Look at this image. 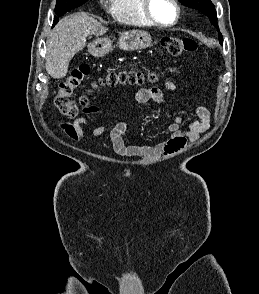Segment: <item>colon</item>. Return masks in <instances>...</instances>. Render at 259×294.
I'll return each mask as SVG.
<instances>
[{"instance_id": "5ec220e1", "label": "colon", "mask_w": 259, "mask_h": 294, "mask_svg": "<svg viewBox=\"0 0 259 294\" xmlns=\"http://www.w3.org/2000/svg\"><path fill=\"white\" fill-rule=\"evenodd\" d=\"M161 44L171 56H180L197 48L196 42L190 38L165 37L161 40ZM88 74L89 68L81 66L74 69L60 84L55 98V105L63 116L76 117L81 110H85L88 107V99L85 96H81L78 99L73 97L74 91L81 85ZM157 79L156 73L129 69L112 71L101 83L110 86L120 84L142 85L146 81L154 82ZM95 87L98 86L96 85Z\"/></svg>"}]
</instances>
